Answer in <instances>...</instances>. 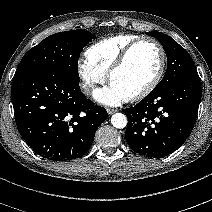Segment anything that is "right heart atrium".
Returning <instances> with one entry per match:
<instances>
[{
    "mask_svg": "<svg viewBox=\"0 0 212 212\" xmlns=\"http://www.w3.org/2000/svg\"><path fill=\"white\" fill-rule=\"evenodd\" d=\"M77 73L81 80V88L85 94H91L97 85L104 83L106 80V74L87 59L78 60Z\"/></svg>",
    "mask_w": 212,
    "mask_h": 212,
    "instance_id": "1",
    "label": "right heart atrium"
}]
</instances>
